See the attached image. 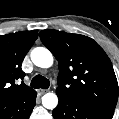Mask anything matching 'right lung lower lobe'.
<instances>
[{
    "label": "right lung lower lobe",
    "instance_id": "obj_1",
    "mask_svg": "<svg viewBox=\"0 0 119 119\" xmlns=\"http://www.w3.org/2000/svg\"><path fill=\"white\" fill-rule=\"evenodd\" d=\"M36 91L0 105V119H28L36 104Z\"/></svg>",
    "mask_w": 119,
    "mask_h": 119
}]
</instances>
